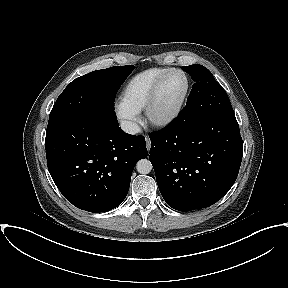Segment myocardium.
Masks as SVG:
<instances>
[{
    "label": "myocardium",
    "instance_id": "f54148a6",
    "mask_svg": "<svg viewBox=\"0 0 288 288\" xmlns=\"http://www.w3.org/2000/svg\"><path fill=\"white\" fill-rule=\"evenodd\" d=\"M175 72L182 74V76L185 78V88H184L183 94L180 97L178 103L168 114L158 117L155 115V107H156V103L159 97L161 87L163 83L165 82L166 78L170 74L175 73ZM189 86H190L189 78L184 70L180 68H170L166 72H164L155 82L149 101L146 107L144 108L146 120L151 125L156 126V127H164L168 125L170 122H172L179 115L182 109V106L185 102V99L189 91Z\"/></svg>",
    "mask_w": 288,
    "mask_h": 288
}]
</instances>
